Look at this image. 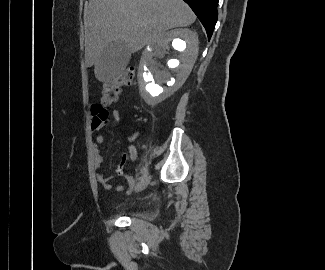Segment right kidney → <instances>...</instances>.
Here are the masks:
<instances>
[{
	"label": "right kidney",
	"instance_id": "right-kidney-1",
	"mask_svg": "<svg viewBox=\"0 0 325 270\" xmlns=\"http://www.w3.org/2000/svg\"><path fill=\"white\" fill-rule=\"evenodd\" d=\"M171 42L173 52H170ZM198 44L196 32L175 29L147 46L140 60L138 83L140 94L148 105L162 102L184 84L197 59Z\"/></svg>",
	"mask_w": 325,
	"mask_h": 270
}]
</instances>
